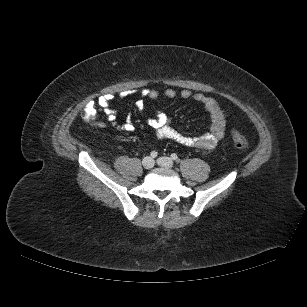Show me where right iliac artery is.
<instances>
[{"instance_id":"obj_1","label":"right iliac artery","mask_w":307,"mask_h":307,"mask_svg":"<svg viewBox=\"0 0 307 307\" xmlns=\"http://www.w3.org/2000/svg\"><path fill=\"white\" fill-rule=\"evenodd\" d=\"M157 156H158V153H157L156 151H152V152L150 153V157H151L152 159L156 158Z\"/></svg>"}]
</instances>
